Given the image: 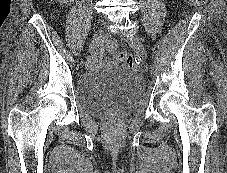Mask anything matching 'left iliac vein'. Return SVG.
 Here are the masks:
<instances>
[{
  "mask_svg": "<svg viewBox=\"0 0 227 173\" xmlns=\"http://www.w3.org/2000/svg\"><path fill=\"white\" fill-rule=\"evenodd\" d=\"M127 41L129 43V45L136 51V53L142 59H146V57H147L146 49H145L143 43L141 42V40L136 35L128 37Z\"/></svg>",
  "mask_w": 227,
  "mask_h": 173,
  "instance_id": "left-iliac-vein-1",
  "label": "left iliac vein"
}]
</instances>
